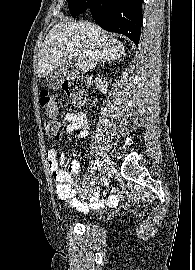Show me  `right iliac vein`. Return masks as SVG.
<instances>
[{
  "label": "right iliac vein",
  "instance_id": "1",
  "mask_svg": "<svg viewBox=\"0 0 195 270\" xmlns=\"http://www.w3.org/2000/svg\"><path fill=\"white\" fill-rule=\"evenodd\" d=\"M99 176L97 178V183L102 182V176L105 175L108 171V159L104 156V159L102 160L100 166H99Z\"/></svg>",
  "mask_w": 195,
  "mask_h": 270
}]
</instances>
